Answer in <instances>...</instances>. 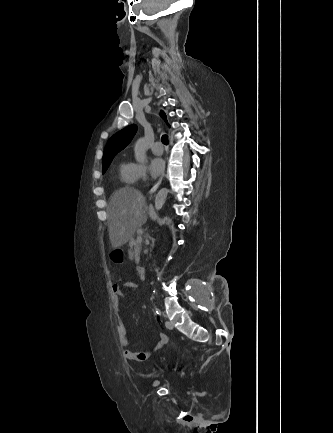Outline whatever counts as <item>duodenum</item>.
Instances as JSON below:
<instances>
[{
	"label": "duodenum",
	"mask_w": 333,
	"mask_h": 433,
	"mask_svg": "<svg viewBox=\"0 0 333 433\" xmlns=\"http://www.w3.org/2000/svg\"><path fill=\"white\" fill-rule=\"evenodd\" d=\"M134 242H135V237H130L129 246H134ZM138 273H139V277L142 280H145L147 278L148 272L146 268L140 267L138 269Z\"/></svg>",
	"instance_id": "duodenum-1"
}]
</instances>
